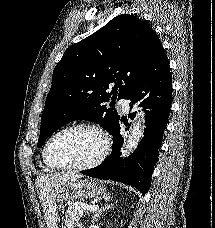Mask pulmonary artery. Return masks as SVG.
Segmentation results:
<instances>
[{"mask_svg": "<svg viewBox=\"0 0 215 228\" xmlns=\"http://www.w3.org/2000/svg\"><path fill=\"white\" fill-rule=\"evenodd\" d=\"M130 97H119V107L120 110L123 112H127L131 109V106L129 105Z\"/></svg>", "mask_w": 215, "mask_h": 228, "instance_id": "pulmonary-artery-1", "label": "pulmonary artery"}]
</instances>
